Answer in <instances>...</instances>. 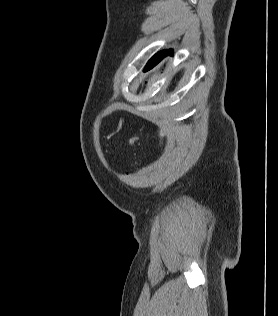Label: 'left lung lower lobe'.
Instances as JSON below:
<instances>
[{
	"label": "left lung lower lobe",
	"mask_w": 278,
	"mask_h": 316,
	"mask_svg": "<svg viewBox=\"0 0 278 316\" xmlns=\"http://www.w3.org/2000/svg\"><path fill=\"white\" fill-rule=\"evenodd\" d=\"M168 55H173V50H172V49L164 50V51L162 52L160 61H161L164 57H166V56H168ZM160 61H159V62H160Z\"/></svg>",
	"instance_id": "obj_1"
}]
</instances>
